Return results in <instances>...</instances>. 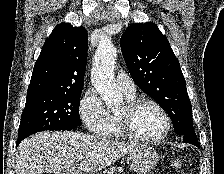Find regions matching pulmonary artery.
Returning a JSON list of instances; mask_svg holds the SVG:
<instances>
[{"instance_id":"obj_1","label":"pulmonary artery","mask_w":224,"mask_h":174,"mask_svg":"<svg viewBox=\"0 0 224 174\" xmlns=\"http://www.w3.org/2000/svg\"><path fill=\"white\" fill-rule=\"evenodd\" d=\"M116 83L120 90L130 97H134L136 94V87L134 82L125 73H118L116 76Z\"/></svg>"}]
</instances>
